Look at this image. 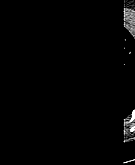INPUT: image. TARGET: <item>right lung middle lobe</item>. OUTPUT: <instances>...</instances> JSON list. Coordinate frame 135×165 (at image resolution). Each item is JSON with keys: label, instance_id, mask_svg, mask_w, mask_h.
<instances>
[{"label": "right lung middle lobe", "instance_id": "right-lung-middle-lobe-1", "mask_svg": "<svg viewBox=\"0 0 135 165\" xmlns=\"http://www.w3.org/2000/svg\"><path fill=\"white\" fill-rule=\"evenodd\" d=\"M37 55L32 53L19 54L12 48L0 51V79L16 80L31 78L39 60V44L36 45Z\"/></svg>", "mask_w": 135, "mask_h": 165}]
</instances>
